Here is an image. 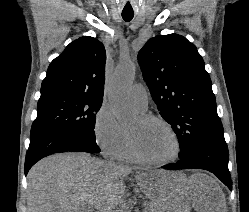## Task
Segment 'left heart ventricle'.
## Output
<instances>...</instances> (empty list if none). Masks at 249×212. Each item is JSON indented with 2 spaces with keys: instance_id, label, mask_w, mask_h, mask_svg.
<instances>
[{
  "instance_id": "left-heart-ventricle-1",
  "label": "left heart ventricle",
  "mask_w": 249,
  "mask_h": 212,
  "mask_svg": "<svg viewBox=\"0 0 249 212\" xmlns=\"http://www.w3.org/2000/svg\"><path fill=\"white\" fill-rule=\"evenodd\" d=\"M128 134L137 152L145 159L165 161L176 154L175 138L159 123H145L139 117L128 129Z\"/></svg>"
}]
</instances>
